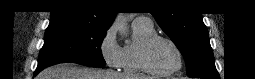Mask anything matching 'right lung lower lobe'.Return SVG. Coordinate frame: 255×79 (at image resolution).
<instances>
[{"mask_svg":"<svg viewBox=\"0 0 255 79\" xmlns=\"http://www.w3.org/2000/svg\"><path fill=\"white\" fill-rule=\"evenodd\" d=\"M42 69H36L35 73H34V76H36Z\"/></svg>","mask_w":255,"mask_h":79,"instance_id":"98d812e1","label":"right lung lower lobe"}]
</instances>
